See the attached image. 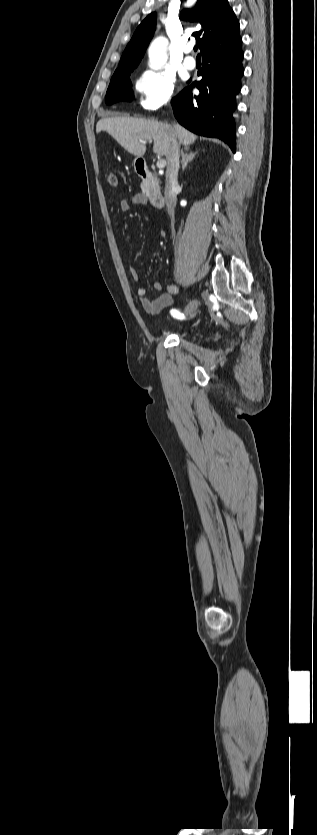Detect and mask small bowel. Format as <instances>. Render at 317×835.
<instances>
[{
    "label": "small bowel",
    "instance_id": "1",
    "mask_svg": "<svg viewBox=\"0 0 317 835\" xmlns=\"http://www.w3.org/2000/svg\"><path fill=\"white\" fill-rule=\"evenodd\" d=\"M145 201H146V198H145L144 195L136 194V195H133L130 198L123 199L120 202V209L123 212H127V211L131 210L134 206L139 205V204H143ZM130 274H131L132 279L134 281L139 280V273H138V270L135 267L130 268ZM152 287L155 291H161L162 290V284L159 281H155L152 284ZM177 293H178V287L175 284H168L167 288H166V291L164 293H162L161 295H159L155 299H149L147 297V295H146L147 290H146L145 287H139L138 290H137V294L139 296L140 304L142 305L144 310L146 312L150 313V314H158L164 308L172 305L173 296L176 295ZM189 304L192 308L196 307L195 303L190 302Z\"/></svg>",
    "mask_w": 317,
    "mask_h": 835
}]
</instances>
